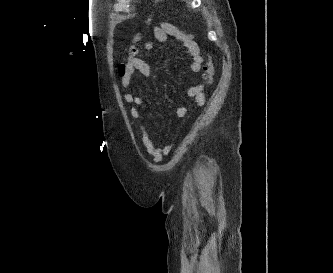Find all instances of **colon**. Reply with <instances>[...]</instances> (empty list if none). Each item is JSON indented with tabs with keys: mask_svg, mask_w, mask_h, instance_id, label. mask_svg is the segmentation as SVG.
Here are the masks:
<instances>
[{
	"mask_svg": "<svg viewBox=\"0 0 333 273\" xmlns=\"http://www.w3.org/2000/svg\"><path fill=\"white\" fill-rule=\"evenodd\" d=\"M140 48H141V36L139 34H136L133 38V42L128 49L127 53V61L130 62L132 59L136 58L139 56L140 53ZM126 64L122 67V72L126 66ZM214 76V65L211 60L208 61L206 67H205V72L203 75L204 81L206 84H211Z\"/></svg>",
	"mask_w": 333,
	"mask_h": 273,
	"instance_id": "obj_1",
	"label": "colon"
}]
</instances>
